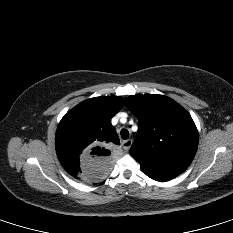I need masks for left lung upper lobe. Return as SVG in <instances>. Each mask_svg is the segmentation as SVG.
<instances>
[{"instance_id":"5c2ea615","label":"left lung upper lobe","mask_w":233,"mask_h":233,"mask_svg":"<svg viewBox=\"0 0 233 233\" xmlns=\"http://www.w3.org/2000/svg\"><path fill=\"white\" fill-rule=\"evenodd\" d=\"M125 104L138 118L131 156L147 172L181 174L198 147V131L190 114L163 95H133Z\"/></svg>"}]
</instances>
